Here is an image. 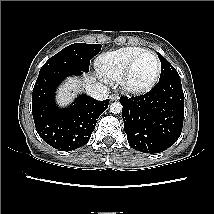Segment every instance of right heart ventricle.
<instances>
[{"label": "right heart ventricle", "instance_id": "1", "mask_svg": "<svg viewBox=\"0 0 214 214\" xmlns=\"http://www.w3.org/2000/svg\"><path fill=\"white\" fill-rule=\"evenodd\" d=\"M144 50L141 47H124L104 53L96 60L97 71L106 81H119L131 60Z\"/></svg>", "mask_w": 214, "mask_h": 214}]
</instances>
